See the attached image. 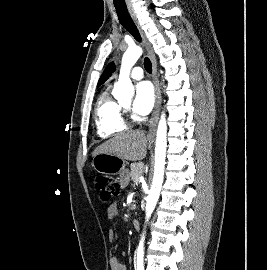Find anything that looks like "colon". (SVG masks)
Returning a JSON list of instances; mask_svg holds the SVG:
<instances>
[{"label": "colon", "instance_id": "5ec220e1", "mask_svg": "<svg viewBox=\"0 0 267 270\" xmlns=\"http://www.w3.org/2000/svg\"><path fill=\"white\" fill-rule=\"evenodd\" d=\"M95 189L102 202L107 203L117 196L121 189V184L116 179L107 175H97L94 179Z\"/></svg>", "mask_w": 267, "mask_h": 270}]
</instances>
